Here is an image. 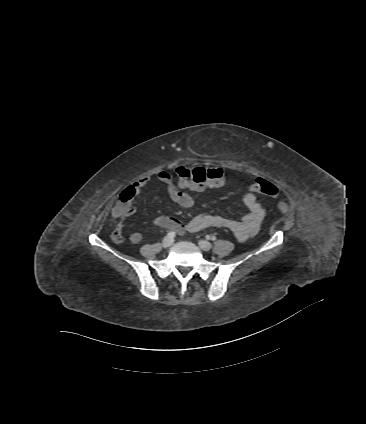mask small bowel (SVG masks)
<instances>
[{
	"mask_svg": "<svg viewBox=\"0 0 366 424\" xmlns=\"http://www.w3.org/2000/svg\"><path fill=\"white\" fill-rule=\"evenodd\" d=\"M214 170L216 172H222L221 177L217 178V182L204 188L190 189L194 191H203L206 188L224 185L226 181L225 170L222 168H214ZM156 178L165 184L168 194L173 202L186 208L194 205V197L187 192L181 191L179 187L173 183L172 177L169 173L164 171L160 172L157 174ZM149 181L150 177L141 178L134 182L130 188L135 191V194H137ZM181 187L189 188L182 184ZM243 203L247 207L248 213L239 220L226 218L218 214L204 213L196 215L188 223L183 224L173 217L163 215L157 217L153 221V226L170 229L180 235H183L186 232H198L209 227L224 228L229 230L236 239L245 241L257 234L265 217L266 211L265 208L258 202L255 196V191L252 189V185L249 187L248 192L243 196ZM122 219L123 218H120L114 211L112 212L110 224L114 227V229L111 237L116 243L124 242V237L121 232ZM142 238V234L140 233H133L129 236V240L133 244L140 243Z\"/></svg>",
	"mask_w": 366,
	"mask_h": 424,
	"instance_id": "small-bowel-1",
	"label": "small bowel"
}]
</instances>
